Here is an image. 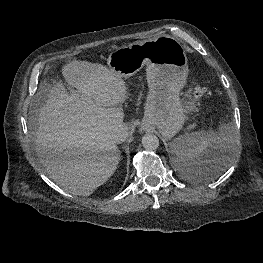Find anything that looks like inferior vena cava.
Listing matches in <instances>:
<instances>
[{
  "label": "inferior vena cava",
  "instance_id": "1",
  "mask_svg": "<svg viewBox=\"0 0 263 263\" xmlns=\"http://www.w3.org/2000/svg\"><path fill=\"white\" fill-rule=\"evenodd\" d=\"M128 137V129L125 124L119 125L114 128L111 139L115 144L124 142Z\"/></svg>",
  "mask_w": 263,
  "mask_h": 263
}]
</instances>
